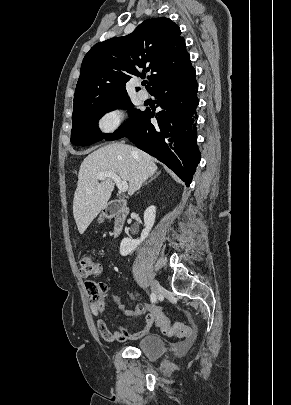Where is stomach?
<instances>
[{"label": "stomach", "mask_w": 291, "mask_h": 405, "mask_svg": "<svg viewBox=\"0 0 291 405\" xmlns=\"http://www.w3.org/2000/svg\"><path fill=\"white\" fill-rule=\"evenodd\" d=\"M106 216H107V214H106L105 212H102V214L100 215L98 221H99V222H102L103 219H104Z\"/></svg>", "instance_id": "0dacf381"}]
</instances>
